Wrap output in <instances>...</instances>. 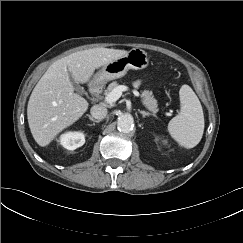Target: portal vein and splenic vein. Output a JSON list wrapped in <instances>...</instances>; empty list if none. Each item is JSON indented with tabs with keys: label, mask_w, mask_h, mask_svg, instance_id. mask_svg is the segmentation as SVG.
<instances>
[{
	"label": "portal vein and splenic vein",
	"mask_w": 243,
	"mask_h": 243,
	"mask_svg": "<svg viewBox=\"0 0 243 243\" xmlns=\"http://www.w3.org/2000/svg\"><path fill=\"white\" fill-rule=\"evenodd\" d=\"M128 87L125 85H120L114 88L109 94L105 97V102L108 104H112L116 102L122 95V92L127 91Z\"/></svg>",
	"instance_id": "obj_1"
}]
</instances>
